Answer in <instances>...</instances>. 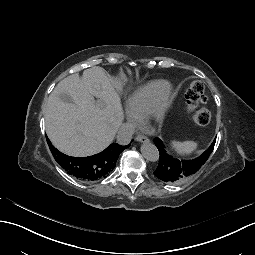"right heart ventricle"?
Masks as SVG:
<instances>
[{"label": "right heart ventricle", "instance_id": "right-heart-ventricle-1", "mask_svg": "<svg viewBox=\"0 0 255 255\" xmlns=\"http://www.w3.org/2000/svg\"><path fill=\"white\" fill-rule=\"evenodd\" d=\"M164 87L163 81H151L130 92L125 100L128 114L135 119L147 115L155 106Z\"/></svg>", "mask_w": 255, "mask_h": 255}]
</instances>
